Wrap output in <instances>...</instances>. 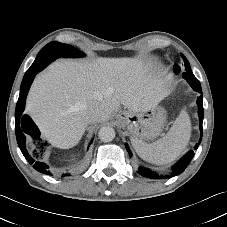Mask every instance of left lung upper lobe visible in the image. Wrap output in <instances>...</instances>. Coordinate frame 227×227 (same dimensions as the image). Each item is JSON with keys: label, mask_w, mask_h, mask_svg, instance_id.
<instances>
[{"label": "left lung upper lobe", "mask_w": 227, "mask_h": 227, "mask_svg": "<svg viewBox=\"0 0 227 227\" xmlns=\"http://www.w3.org/2000/svg\"><path fill=\"white\" fill-rule=\"evenodd\" d=\"M182 57L185 65V72L182 74L183 78L187 80V82L194 90L201 89L200 82L196 79V77L192 73L188 60L186 59L185 56L182 55Z\"/></svg>", "instance_id": "obj_1"}]
</instances>
